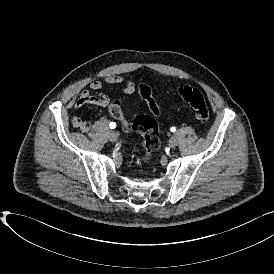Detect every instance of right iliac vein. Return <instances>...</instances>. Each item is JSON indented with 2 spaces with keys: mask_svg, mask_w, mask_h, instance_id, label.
I'll return each mask as SVG.
<instances>
[{
  "mask_svg": "<svg viewBox=\"0 0 274 274\" xmlns=\"http://www.w3.org/2000/svg\"><path fill=\"white\" fill-rule=\"evenodd\" d=\"M109 140H110L111 142H115V141L117 140V135H116V133H115L114 131H111V132L109 133Z\"/></svg>",
  "mask_w": 274,
  "mask_h": 274,
  "instance_id": "63e3f726",
  "label": "right iliac vein"
}]
</instances>
